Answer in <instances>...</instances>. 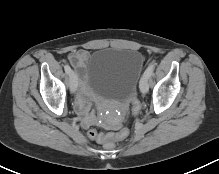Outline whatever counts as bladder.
Here are the masks:
<instances>
[{
	"mask_svg": "<svg viewBox=\"0 0 219 174\" xmlns=\"http://www.w3.org/2000/svg\"><path fill=\"white\" fill-rule=\"evenodd\" d=\"M144 63L143 54L134 49L102 48L86 63V82L96 95L123 101L132 96Z\"/></svg>",
	"mask_w": 219,
	"mask_h": 174,
	"instance_id": "obj_1",
	"label": "bladder"
}]
</instances>
